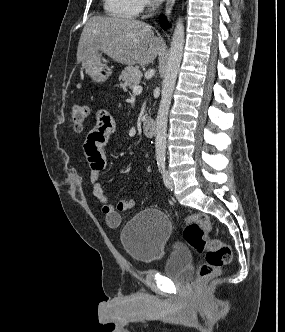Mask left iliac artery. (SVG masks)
Returning <instances> with one entry per match:
<instances>
[{
  "mask_svg": "<svg viewBox=\"0 0 285 332\" xmlns=\"http://www.w3.org/2000/svg\"><path fill=\"white\" fill-rule=\"evenodd\" d=\"M158 168L160 173H164L165 172V162L164 161H159L158 163Z\"/></svg>",
  "mask_w": 285,
  "mask_h": 332,
  "instance_id": "left-iliac-artery-1",
  "label": "left iliac artery"
}]
</instances>
